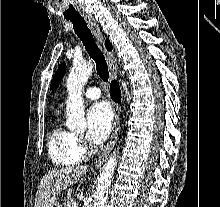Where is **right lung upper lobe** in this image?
<instances>
[{
    "label": "right lung upper lobe",
    "mask_w": 220,
    "mask_h": 207,
    "mask_svg": "<svg viewBox=\"0 0 220 207\" xmlns=\"http://www.w3.org/2000/svg\"><path fill=\"white\" fill-rule=\"evenodd\" d=\"M106 48L109 51L112 49V45H111V43H110V41L108 39L106 40Z\"/></svg>",
    "instance_id": "obj_1"
}]
</instances>
